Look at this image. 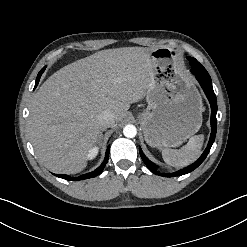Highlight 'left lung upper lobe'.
Returning a JSON list of instances; mask_svg holds the SVG:
<instances>
[{
    "label": "left lung upper lobe",
    "instance_id": "5c2ea615",
    "mask_svg": "<svg viewBox=\"0 0 247 247\" xmlns=\"http://www.w3.org/2000/svg\"><path fill=\"white\" fill-rule=\"evenodd\" d=\"M188 60L190 62V65H192V64L196 65V67H198V69L201 73H203L205 76H209L206 69L195 58L188 57Z\"/></svg>",
    "mask_w": 247,
    "mask_h": 247
}]
</instances>
